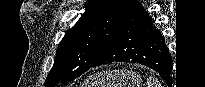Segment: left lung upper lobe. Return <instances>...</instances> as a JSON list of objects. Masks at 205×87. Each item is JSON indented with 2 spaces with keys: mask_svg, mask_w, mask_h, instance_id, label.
Listing matches in <instances>:
<instances>
[{
  "mask_svg": "<svg viewBox=\"0 0 205 87\" xmlns=\"http://www.w3.org/2000/svg\"><path fill=\"white\" fill-rule=\"evenodd\" d=\"M137 0H89L85 11L69 30L56 52L45 85L64 84L82 75L100 57L110 38Z\"/></svg>",
  "mask_w": 205,
  "mask_h": 87,
  "instance_id": "5c2ea615",
  "label": "left lung upper lobe"
}]
</instances>
